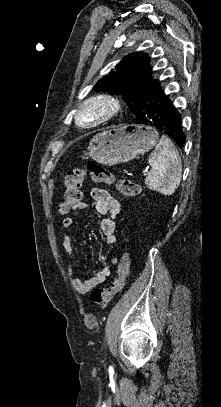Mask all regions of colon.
I'll list each match as a JSON object with an SVG mask.
<instances>
[{"mask_svg":"<svg viewBox=\"0 0 221 407\" xmlns=\"http://www.w3.org/2000/svg\"><path fill=\"white\" fill-rule=\"evenodd\" d=\"M86 177L93 182L106 185H115L116 188L125 196H137L141 188L139 184L128 180H117L112 172L97 162H88L85 168H75L67 172L64 182L63 198L60 201L59 211L67 213L75 207L82 199V185ZM131 270V258L128 252H124L117 265V275L107 288H96L91 293V299L104 310L112 298L122 292L126 280Z\"/></svg>","mask_w":221,"mask_h":407,"instance_id":"1","label":"colon"}]
</instances>
